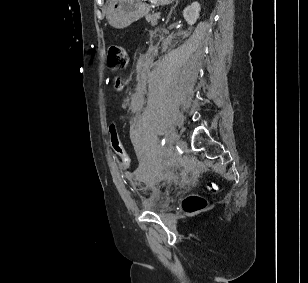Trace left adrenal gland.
Segmentation results:
<instances>
[{"mask_svg": "<svg viewBox=\"0 0 308 283\" xmlns=\"http://www.w3.org/2000/svg\"><path fill=\"white\" fill-rule=\"evenodd\" d=\"M177 4H178V0H176V4L171 8V10H170V12H169V15H168V21H169V19H170V17H171V14H172V11L175 9V7L177 6Z\"/></svg>", "mask_w": 308, "mask_h": 283, "instance_id": "left-adrenal-gland-1", "label": "left adrenal gland"}]
</instances>
